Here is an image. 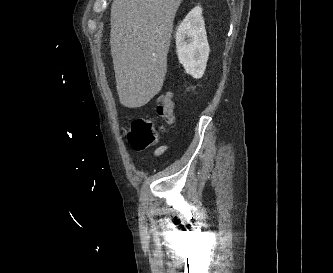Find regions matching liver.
<instances>
[{
  "label": "liver",
  "mask_w": 333,
  "mask_h": 273,
  "mask_svg": "<svg viewBox=\"0 0 333 273\" xmlns=\"http://www.w3.org/2000/svg\"><path fill=\"white\" fill-rule=\"evenodd\" d=\"M182 0H114L111 54L120 103L147 104L162 89L173 21Z\"/></svg>",
  "instance_id": "6515ba94"
}]
</instances>
